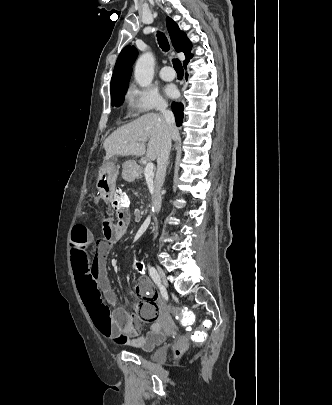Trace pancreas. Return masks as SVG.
Masks as SVG:
<instances>
[{"instance_id":"1","label":"pancreas","mask_w":332,"mask_h":405,"mask_svg":"<svg viewBox=\"0 0 332 405\" xmlns=\"http://www.w3.org/2000/svg\"><path fill=\"white\" fill-rule=\"evenodd\" d=\"M143 172H144V171H143L142 167L138 169V174H141V173H143Z\"/></svg>"}]
</instances>
